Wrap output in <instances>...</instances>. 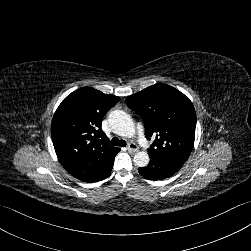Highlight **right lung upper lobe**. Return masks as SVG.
I'll return each mask as SVG.
<instances>
[{
  "instance_id": "right-lung-upper-lobe-1",
  "label": "right lung upper lobe",
  "mask_w": 251,
  "mask_h": 251,
  "mask_svg": "<svg viewBox=\"0 0 251 251\" xmlns=\"http://www.w3.org/2000/svg\"><path fill=\"white\" fill-rule=\"evenodd\" d=\"M119 100L83 87L69 94L57 108L51 124L54 149L64 169L75 178L97 182L111 171L120 149L109 145L101 122Z\"/></svg>"
}]
</instances>
